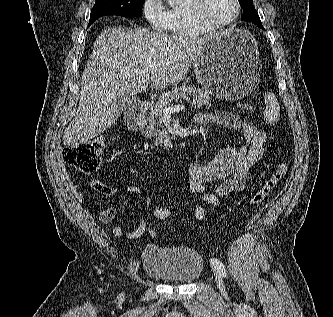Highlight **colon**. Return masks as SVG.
<instances>
[{
	"label": "colon",
	"mask_w": 333,
	"mask_h": 317,
	"mask_svg": "<svg viewBox=\"0 0 333 317\" xmlns=\"http://www.w3.org/2000/svg\"><path fill=\"white\" fill-rule=\"evenodd\" d=\"M244 112L251 113L253 107L251 104L242 103L240 105ZM104 142L103 139L98 137L88 142L69 146L65 148L63 152L64 162L77 169L82 173H93L95 172L103 157ZM288 172V165L284 161H280L274 171L267 177L263 184L254 192L251 197V203L253 205H259L263 203L271 192L280 184L283 178ZM151 218L146 223L147 232L150 236H155V224L158 222H166L172 218V210L166 205L158 204L150 210Z\"/></svg>",
	"instance_id": "colon-1"
}]
</instances>
